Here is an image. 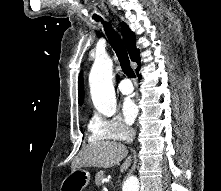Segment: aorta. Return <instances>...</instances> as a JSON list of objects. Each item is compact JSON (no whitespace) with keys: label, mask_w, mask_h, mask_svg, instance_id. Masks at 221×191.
Here are the masks:
<instances>
[{"label":"aorta","mask_w":221,"mask_h":191,"mask_svg":"<svg viewBox=\"0 0 221 191\" xmlns=\"http://www.w3.org/2000/svg\"><path fill=\"white\" fill-rule=\"evenodd\" d=\"M112 60L108 56L97 57L89 75L90 93L95 108L105 116L116 111V97L112 84ZM139 180L130 176L124 182L122 191H139Z\"/></svg>","instance_id":"762f6f07"}]
</instances>
